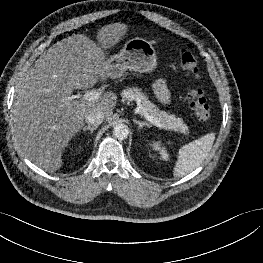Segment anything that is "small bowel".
Returning a JSON list of instances; mask_svg holds the SVG:
<instances>
[{
	"label": "small bowel",
	"mask_w": 263,
	"mask_h": 263,
	"mask_svg": "<svg viewBox=\"0 0 263 263\" xmlns=\"http://www.w3.org/2000/svg\"><path fill=\"white\" fill-rule=\"evenodd\" d=\"M155 93L162 102H167L169 99L168 91L163 80H158L155 84Z\"/></svg>",
	"instance_id": "small-bowel-1"
}]
</instances>
